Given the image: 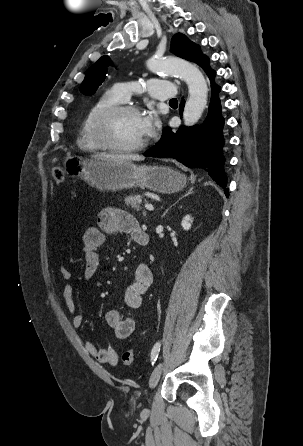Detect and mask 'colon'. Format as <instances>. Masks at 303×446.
Wrapping results in <instances>:
<instances>
[{"label":"colon","instance_id":"obj_1","mask_svg":"<svg viewBox=\"0 0 303 446\" xmlns=\"http://www.w3.org/2000/svg\"><path fill=\"white\" fill-rule=\"evenodd\" d=\"M52 175L54 180L58 184L62 185L66 183L67 176L64 173V171H62L60 168H53ZM134 358H135V351L133 349H128L123 352L121 360L124 365H131L134 361Z\"/></svg>","mask_w":303,"mask_h":446}]
</instances>
